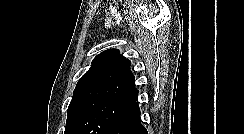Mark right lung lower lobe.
<instances>
[{
	"label": "right lung lower lobe",
	"instance_id": "right-lung-lower-lobe-1",
	"mask_svg": "<svg viewBox=\"0 0 244 134\" xmlns=\"http://www.w3.org/2000/svg\"><path fill=\"white\" fill-rule=\"evenodd\" d=\"M105 134H147V130L140 121V109L137 100Z\"/></svg>",
	"mask_w": 244,
	"mask_h": 134
}]
</instances>
